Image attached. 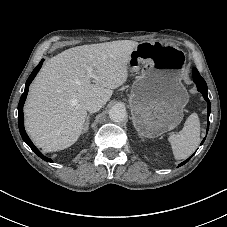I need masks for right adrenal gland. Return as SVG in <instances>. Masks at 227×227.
<instances>
[{
	"mask_svg": "<svg viewBox=\"0 0 227 227\" xmlns=\"http://www.w3.org/2000/svg\"><path fill=\"white\" fill-rule=\"evenodd\" d=\"M90 116H91V114H88V116L86 118V122H85L83 133H86L88 131Z\"/></svg>",
	"mask_w": 227,
	"mask_h": 227,
	"instance_id": "2a0ac1e0",
	"label": "right adrenal gland"
}]
</instances>
